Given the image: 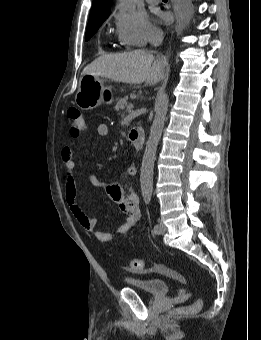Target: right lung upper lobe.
<instances>
[{"label":"right lung upper lobe","mask_w":261,"mask_h":340,"mask_svg":"<svg viewBox=\"0 0 261 340\" xmlns=\"http://www.w3.org/2000/svg\"><path fill=\"white\" fill-rule=\"evenodd\" d=\"M111 1L112 0H93L88 24L108 17L110 14Z\"/></svg>","instance_id":"cb5924a9"}]
</instances>
